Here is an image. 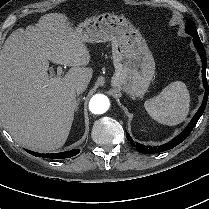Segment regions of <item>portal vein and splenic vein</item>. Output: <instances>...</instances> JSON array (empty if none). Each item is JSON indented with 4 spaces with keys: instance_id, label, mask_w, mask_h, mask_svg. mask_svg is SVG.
<instances>
[{
    "instance_id": "18ae733b",
    "label": "portal vein and splenic vein",
    "mask_w": 209,
    "mask_h": 209,
    "mask_svg": "<svg viewBox=\"0 0 209 209\" xmlns=\"http://www.w3.org/2000/svg\"><path fill=\"white\" fill-rule=\"evenodd\" d=\"M62 78V68L58 67L57 68V73H56V77L53 78L54 81L60 80Z\"/></svg>"
}]
</instances>
